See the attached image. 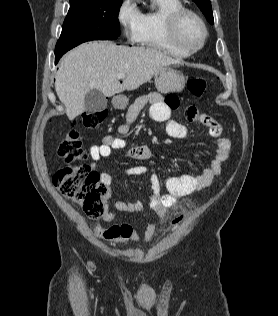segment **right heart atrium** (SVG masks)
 <instances>
[{
    "label": "right heart atrium",
    "mask_w": 278,
    "mask_h": 316,
    "mask_svg": "<svg viewBox=\"0 0 278 316\" xmlns=\"http://www.w3.org/2000/svg\"><path fill=\"white\" fill-rule=\"evenodd\" d=\"M116 18L124 37L130 42H137L142 13L135 0H121Z\"/></svg>",
    "instance_id": "right-heart-atrium-1"
}]
</instances>
